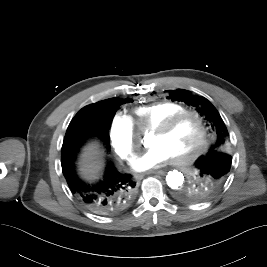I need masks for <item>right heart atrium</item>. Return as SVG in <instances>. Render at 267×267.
<instances>
[{"label": "right heart atrium", "instance_id": "right-heart-atrium-1", "mask_svg": "<svg viewBox=\"0 0 267 267\" xmlns=\"http://www.w3.org/2000/svg\"><path fill=\"white\" fill-rule=\"evenodd\" d=\"M110 138L116 155L131 163L136 155L138 133L131 119L122 114L116 113L111 121Z\"/></svg>", "mask_w": 267, "mask_h": 267}]
</instances>
